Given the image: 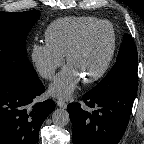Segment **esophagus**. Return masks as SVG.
Returning a JSON list of instances; mask_svg holds the SVG:
<instances>
[{"mask_svg":"<svg viewBox=\"0 0 144 144\" xmlns=\"http://www.w3.org/2000/svg\"><path fill=\"white\" fill-rule=\"evenodd\" d=\"M56 103L60 108H63V109L67 108V104L65 103V101L57 100Z\"/></svg>","mask_w":144,"mask_h":144,"instance_id":"1","label":"esophagus"}]
</instances>
